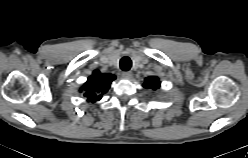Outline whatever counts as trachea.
Returning <instances> with one entry per match:
<instances>
[{
	"label": "trachea",
	"mask_w": 248,
	"mask_h": 158,
	"mask_svg": "<svg viewBox=\"0 0 248 158\" xmlns=\"http://www.w3.org/2000/svg\"><path fill=\"white\" fill-rule=\"evenodd\" d=\"M132 66V61L130 60L129 57L125 56L120 60V68L123 71H128L130 70Z\"/></svg>",
	"instance_id": "trachea-1"
}]
</instances>
